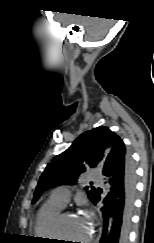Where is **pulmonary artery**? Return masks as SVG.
<instances>
[{
	"instance_id": "e3ab8cb5",
	"label": "pulmonary artery",
	"mask_w": 154,
	"mask_h": 243,
	"mask_svg": "<svg viewBox=\"0 0 154 243\" xmlns=\"http://www.w3.org/2000/svg\"><path fill=\"white\" fill-rule=\"evenodd\" d=\"M90 178L99 184L102 183V179L95 174H91ZM49 200L64 208L70 200V190L66 186L57 187L51 192Z\"/></svg>"
}]
</instances>
